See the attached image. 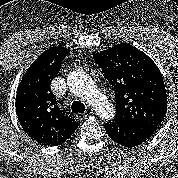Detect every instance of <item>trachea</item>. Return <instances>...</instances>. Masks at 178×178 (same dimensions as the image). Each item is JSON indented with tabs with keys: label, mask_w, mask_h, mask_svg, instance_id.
Listing matches in <instances>:
<instances>
[{
	"label": "trachea",
	"mask_w": 178,
	"mask_h": 178,
	"mask_svg": "<svg viewBox=\"0 0 178 178\" xmlns=\"http://www.w3.org/2000/svg\"><path fill=\"white\" fill-rule=\"evenodd\" d=\"M72 113H84L85 105L79 101H74L71 105Z\"/></svg>",
	"instance_id": "1"
}]
</instances>
